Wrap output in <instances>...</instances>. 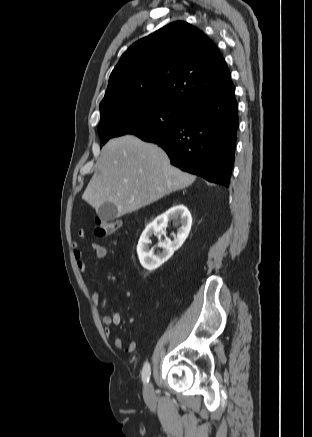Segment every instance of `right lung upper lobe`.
<instances>
[{
  "label": "right lung upper lobe",
  "mask_w": 312,
  "mask_h": 437,
  "mask_svg": "<svg viewBox=\"0 0 312 437\" xmlns=\"http://www.w3.org/2000/svg\"><path fill=\"white\" fill-rule=\"evenodd\" d=\"M230 72L215 43L198 28L176 21L135 42L112 71L101 117L132 103L188 108L222 90Z\"/></svg>",
  "instance_id": "right-lung-upper-lobe-1"
}]
</instances>
